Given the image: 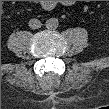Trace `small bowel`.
<instances>
[{
    "label": "small bowel",
    "instance_id": "obj_1",
    "mask_svg": "<svg viewBox=\"0 0 109 109\" xmlns=\"http://www.w3.org/2000/svg\"><path fill=\"white\" fill-rule=\"evenodd\" d=\"M43 6L46 8V9H50L51 8V3L50 2H45L43 4Z\"/></svg>",
    "mask_w": 109,
    "mask_h": 109
}]
</instances>
